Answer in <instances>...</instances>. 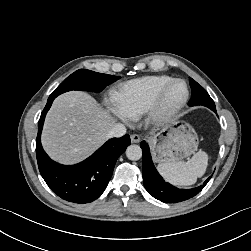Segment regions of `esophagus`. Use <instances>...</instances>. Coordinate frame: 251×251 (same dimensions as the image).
<instances>
[{"instance_id": "34e87169", "label": "esophagus", "mask_w": 251, "mask_h": 251, "mask_svg": "<svg viewBox=\"0 0 251 251\" xmlns=\"http://www.w3.org/2000/svg\"><path fill=\"white\" fill-rule=\"evenodd\" d=\"M132 143H139L140 142V136L138 134H132L130 136Z\"/></svg>"}]
</instances>
